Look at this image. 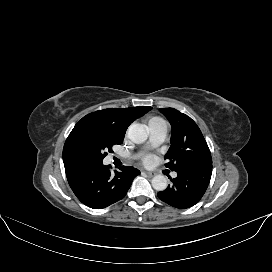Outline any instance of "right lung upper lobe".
I'll list each match as a JSON object with an SVG mask.
<instances>
[{
	"label": "right lung upper lobe",
	"instance_id": "right-lung-upper-lobe-1",
	"mask_svg": "<svg viewBox=\"0 0 272 272\" xmlns=\"http://www.w3.org/2000/svg\"><path fill=\"white\" fill-rule=\"evenodd\" d=\"M151 107L140 106L133 108H108L95 111L83 117V120L91 121L97 125L110 129L115 134L124 137L128 126ZM64 166L78 165L77 163L63 157Z\"/></svg>",
	"mask_w": 272,
	"mask_h": 272
}]
</instances>
